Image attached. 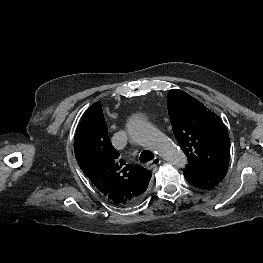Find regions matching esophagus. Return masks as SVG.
Here are the masks:
<instances>
[{"mask_svg":"<svg viewBox=\"0 0 263 263\" xmlns=\"http://www.w3.org/2000/svg\"><path fill=\"white\" fill-rule=\"evenodd\" d=\"M161 163V159L159 157H155L152 161H150L149 163H147V168L148 169H153L156 166H158Z\"/></svg>","mask_w":263,"mask_h":263,"instance_id":"34e87169","label":"esophagus"}]
</instances>
